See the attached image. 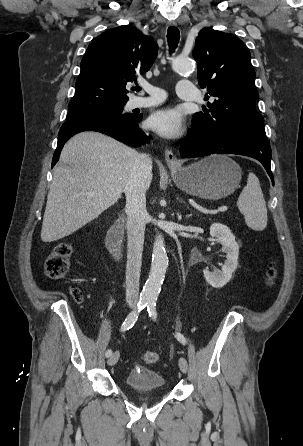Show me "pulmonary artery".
<instances>
[{
  "instance_id": "pulmonary-artery-1",
  "label": "pulmonary artery",
  "mask_w": 303,
  "mask_h": 446,
  "mask_svg": "<svg viewBox=\"0 0 303 446\" xmlns=\"http://www.w3.org/2000/svg\"><path fill=\"white\" fill-rule=\"evenodd\" d=\"M144 90L150 94L149 97H137L131 101V107H149L161 103L164 98V92L151 85H145ZM177 94L179 98L188 101H195L197 99V88L189 80H181L177 84Z\"/></svg>"
}]
</instances>
